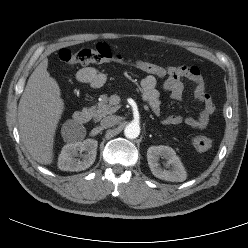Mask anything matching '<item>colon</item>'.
<instances>
[{"instance_id":"obj_1","label":"colon","mask_w":248,"mask_h":248,"mask_svg":"<svg viewBox=\"0 0 248 248\" xmlns=\"http://www.w3.org/2000/svg\"><path fill=\"white\" fill-rule=\"evenodd\" d=\"M59 59L68 66L117 62L133 66L146 74H152L159 78L166 76L165 66L147 60L128 59L106 43H98L93 47H83L77 51L61 49ZM192 141L200 151H207L213 146V139L209 136H196Z\"/></svg>"}]
</instances>
